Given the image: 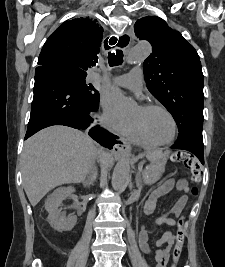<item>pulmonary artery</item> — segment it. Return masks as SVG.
I'll list each match as a JSON object with an SVG mask.
<instances>
[{
	"label": "pulmonary artery",
	"mask_w": 225,
	"mask_h": 267,
	"mask_svg": "<svg viewBox=\"0 0 225 267\" xmlns=\"http://www.w3.org/2000/svg\"><path fill=\"white\" fill-rule=\"evenodd\" d=\"M111 81L122 87L139 92L143 85V72L139 66H136L129 73L115 76Z\"/></svg>",
	"instance_id": "e3ab8cb5"
}]
</instances>
